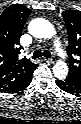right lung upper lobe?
<instances>
[{
	"label": "right lung upper lobe",
	"instance_id": "cb5924a9",
	"mask_svg": "<svg viewBox=\"0 0 81 124\" xmlns=\"http://www.w3.org/2000/svg\"><path fill=\"white\" fill-rule=\"evenodd\" d=\"M30 13L24 5L13 4L0 15V90L18 84L37 66L25 58L18 60L20 35Z\"/></svg>",
	"mask_w": 81,
	"mask_h": 124
}]
</instances>
